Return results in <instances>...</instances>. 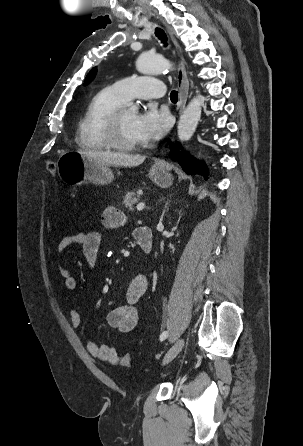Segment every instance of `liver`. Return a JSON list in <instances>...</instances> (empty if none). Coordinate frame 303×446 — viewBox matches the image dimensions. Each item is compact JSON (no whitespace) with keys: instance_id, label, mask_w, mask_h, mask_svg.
<instances>
[{"instance_id":"1","label":"liver","mask_w":303,"mask_h":446,"mask_svg":"<svg viewBox=\"0 0 303 446\" xmlns=\"http://www.w3.org/2000/svg\"><path fill=\"white\" fill-rule=\"evenodd\" d=\"M79 154L86 156L87 158L107 165L123 166V167H135L142 164L145 160V156L132 155L127 153H114L107 151H78Z\"/></svg>"}]
</instances>
